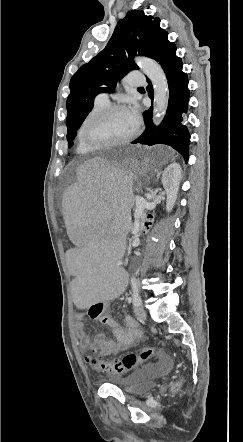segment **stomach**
Masks as SVG:
<instances>
[{
	"instance_id": "1",
	"label": "stomach",
	"mask_w": 243,
	"mask_h": 442,
	"mask_svg": "<svg viewBox=\"0 0 243 442\" xmlns=\"http://www.w3.org/2000/svg\"><path fill=\"white\" fill-rule=\"evenodd\" d=\"M144 163H148V162H143L142 164H138V165H143Z\"/></svg>"
}]
</instances>
